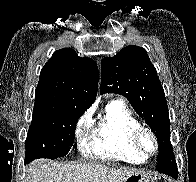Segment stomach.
Wrapping results in <instances>:
<instances>
[{
  "mask_svg": "<svg viewBox=\"0 0 196 182\" xmlns=\"http://www.w3.org/2000/svg\"><path fill=\"white\" fill-rule=\"evenodd\" d=\"M125 182H158L157 179L150 174L136 172L128 177Z\"/></svg>",
  "mask_w": 196,
  "mask_h": 182,
  "instance_id": "0dacf381",
  "label": "stomach"
}]
</instances>
